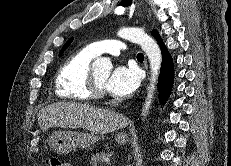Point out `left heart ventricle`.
<instances>
[{
  "label": "left heart ventricle",
  "instance_id": "left-heart-ventricle-1",
  "mask_svg": "<svg viewBox=\"0 0 231 166\" xmlns=\"http://www.w3.org/2000/svg\"><path fill=\"white\" fill-rule=\"evenodd\" d=\"M95 76L98 82L105 87V83L108 77L107 73L101 72V71H95Z\"/></svg>",
  "mask_w": 231,
  "mask_h": 166
}]
</instances>
